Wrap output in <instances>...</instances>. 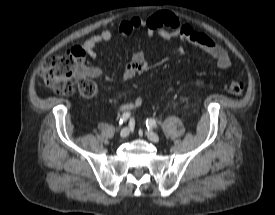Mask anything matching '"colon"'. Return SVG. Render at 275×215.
<instances>
[{
  "mask_svg": "<svg viewBox=\"0 0 275 215\" xmlns=\"http://www.w3.org/2000/svg\"><path fill=\"white\" fill-rule=\"evenodd\" d=\"M84 56V50L75 47L60 56L47 59L40 69L45 84L60 95H71L78 89L83 97L94 98L98 87L86 76ZM225 90L232 95H241L245 85L238 80H229L225 84Z\"/></svg>",
  "mask_w": 275,
  "mask_h": 215,
  "instance_id": "5ec220e1",
  "label": "colon"
}]
</instances>
